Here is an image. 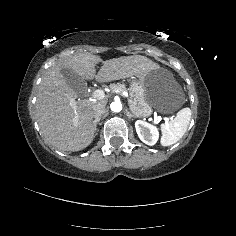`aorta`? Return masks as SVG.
<instances>
[{"label": "aorta", "mask_w": 236, "mask_h": 236, "mask_svg": "<svg viewBox=\"0 0 236 236\" xmlns=\"http://www.w3.org/2000/svg\"><path fill=\"white\" fill-rule=\"evenodd\" d=\"M110 109L113 112H119L122 110V104L120 102L114 101L110 104Z\"/></svg>", "instance_id": "1"}]
</instances>
